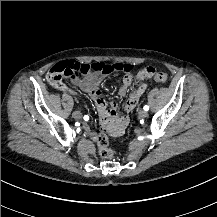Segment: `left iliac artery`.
Masks as SVG:
<instances>
[{"instance_id": "44dca946", "label": "left iliac artery", "mask_w": 217, "mask_h": 217, "mask_svg": "<svg viewBox=\"0 0 217 217\" xmlns=\"http://www.w3.org/2000/svg\"><path fill=\"white\" fill-rule=\"evenodd\" d=\"M143 109H144L145 111H148V110H149V106L145 105V106L143 107Z\"/></svg>"}]
</instances>
